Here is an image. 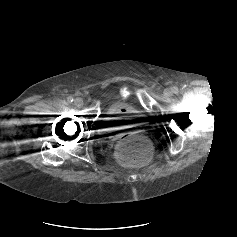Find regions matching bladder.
<instances>
[{
    "label": "bladder",
    "mask_w": 237,
    "mask_h": 237,
    "mask_svg": "<svg viewBox=\"0 0 237 237\" xmlns=\"http://www.w3.org/2000/svg\"><path fill=\"white\" fill-rule=\"evenodd\" d=\"M143 114L129 104L114 103L108 114L99 123L102 134H112L120 130L135 127L141 123Z\"/></svg>",
    "instance_id": "bladder-1"
}]
</instances>
